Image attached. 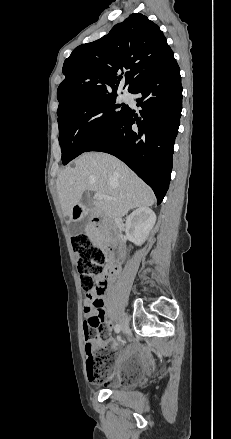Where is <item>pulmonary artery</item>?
Returning <instances> with one entry per match:
<instances>
[{"mask_svg":"<svg viewBox=\"0 0 231 439\" xmlns=\"http://www.w3.org/2000/svg\"><path fill=\"white\" fill-rule=\"evenodd\" d=\"M123 98H124V99H129L130 97H129V95H128L127 93H124V94H123Z\"/></svg>","mask_w":231,"mask_h":439,"instance_id":"e3ab8cb5","label":"pulmonary artery"}]
</instances>
